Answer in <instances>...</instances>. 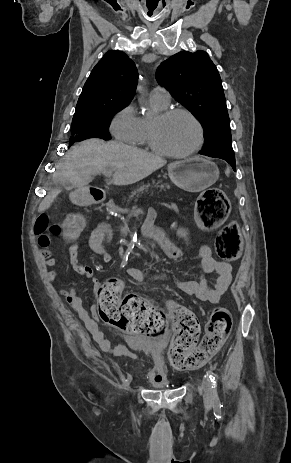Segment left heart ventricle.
<instances>
[{
    "label": "left heart ventricle",
    "mask_w": 291,
    "mask_h": 463,
    "mask_svg": "<svg viewBox=\"0 0 291 463\" xmlns=\"http://www.w3.org/2000/svg\"><path fill=\"white\" fill-rule=\"evenodd\" d=\"M155 125L157 140L160 145L173 152H184L192 148L198 140V129L195 123L184 115L170 119L156 117Z\"/></svg>",
    "instance_id": "1"
}]
</instances>
